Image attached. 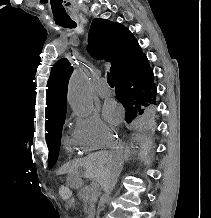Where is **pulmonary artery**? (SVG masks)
<instances>
[{"label": "pulmonary artery", "instance_id": "pulmonary-artery-1", "mask_svg": "<svg viewBox=\"0 0 211 218\" xmlns=\"http://www.w3.org/2000/svg\"><path fill=\"white\" fill-rule=\"evenodd\" d=\"M97 92L101 97H109L112 94V90L109 87L107 80L101 78L97 84Z\"/></svg>", "mask_w": 211, "mask_h": 218}]
</instances>
